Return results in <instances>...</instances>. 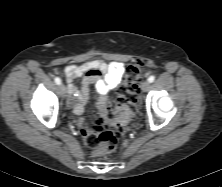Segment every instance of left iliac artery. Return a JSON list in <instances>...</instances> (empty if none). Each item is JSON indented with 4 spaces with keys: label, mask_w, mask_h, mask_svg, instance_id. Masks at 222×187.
Masks as SVG:
<instances>
[{
    "label": "left iliac artery",
    "mask_w": 222,
    "mask_h": 187,
    "mask_svg": "<svg viewBox=\"0 0 222 187\" xmlns=\"http://www.w3.org/2000/svg\"><path fill=\"white\" fill-rule=\"evenodd\" d=\"M154 80H155V76H153V75L148 78V81L150 83H152Z\"/></svg>",
    "instance_id": "left-iliac-artery-1"
}]
</instances>
